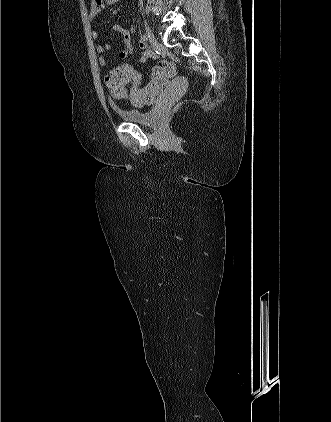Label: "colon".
I'll list each match as a JSON object with an SVG mask.
<instances>
[{"instance_id":"colon-1","label":"colon","mask_w":331,"mask_h":422,"mask_svg":"<svg viewBox=\"0 0 331 422\" xmlns=\"http://www.w3.org/2000/svg\"><path fill=\"white\" fill-rule=\"evenodd\" d=\"M153 74L158 80H165L167 78L175 77L177 75V69L172 62L162 60L155 66ZM138 79H140L139 72L130 65H122L115 68L109 74L108 88L111 95L116 99H122L127 96H135L134 90L129 92L127 85L129 82L136 81ZM136 98L143 103L148 102V99L145 97L136 96Z\"/></svg>"}]
</instances>
